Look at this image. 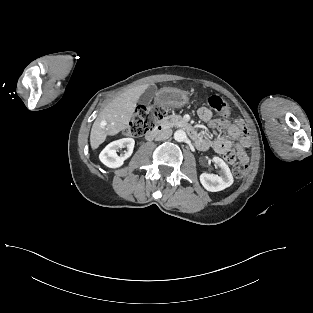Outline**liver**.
I'll return each mask as SVG.
<instances>
[{
    "mask_svg": "<svg viewBox=\"0 0 313 313\" xmlns=\"http://www.w3.org/2000/svg\"><path fill=\"white\" fill-rule=\"evenodd\" d=\"M148 87L149 84L133 87L104 107L92 125L90 134L92 149H97L107 136L118 134L129 124L140 96Z\"/></svg>",
    "mask_w": 313,
    "mask_h": 313,
    "instance_id": "1",
    "label": "liver"
}]
</instances>
